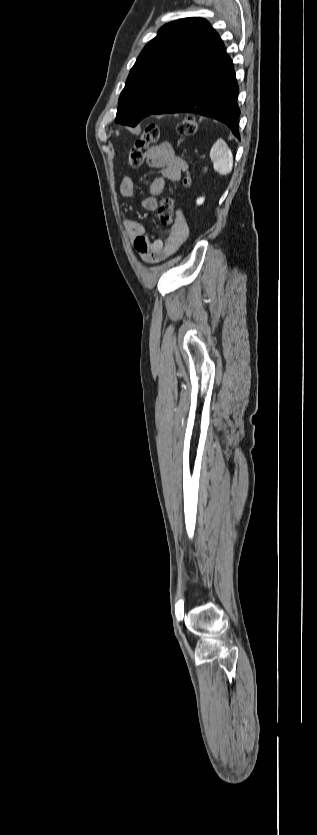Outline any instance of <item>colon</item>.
Returning <instances> with one entry per match:
<instances>
[{
    "label": "colon",
    "instance_id": "1",
    "mask_svg": "<svg viewBox=\"0 0 317 835\" xmlns=\"http://www.w3.org/2000/svg\"><path fill=\"white\" fill-rule=\"evenodd\" d=\"M182 136H194L198 131L197 123L191 116L185 117L178 126ZM160 138V129L157 125H148L141 136L135 141L128 153V163L132 167H139L144 164L149 147ZM193 178L187 174L183 179V185H191ZM175 201L173 195L165 196L158 204L157 218L162 225H170L173 222Z\"/></svg>",
    "mask_w": 317,
    "mask_h": 835
}]
</instances>
